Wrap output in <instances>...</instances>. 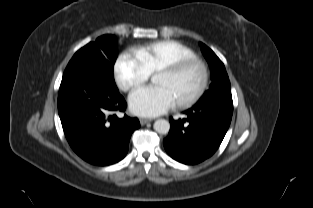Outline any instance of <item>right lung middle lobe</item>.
<instances>
[{"label":"right lung middle lobe","instance_id":"obj_1","mask_svg":"<svg viewBox=\"0 0 313 208\" xmlns=\"http://www.w3.org/2000/svg\"><path fill=\"white\" fill-rule=\"evenodd\" d=\"M117 58L115 37L103 35L78 50L68 63L65 72L76 65H86L100 72V77L109 79L114 86L113 65Z\"/></svg>","mask_w":313,"mask_h":208}]
</instances>
